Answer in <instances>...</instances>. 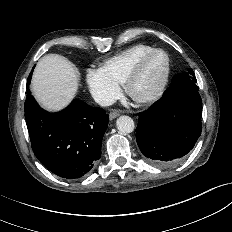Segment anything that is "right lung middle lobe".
<instances>
[{
  "label": "right lung middle lobe",
  "mask_w": 232,
  "mask_h": 232,
  "mask_svg": "<svg viewBox=\"0 0 232 232\" xmlns=\"http://www.w3.org/2000/svg\"><path fill=\"white\" fill-rule=\"evenodd\" d=\"M31 80V74H30V76L28 77V81H30Z\"/></svg>",
  "instance_id": "right-lung-middle-lobe-1"
}]
</instances>
